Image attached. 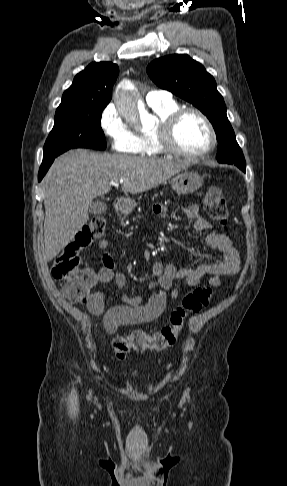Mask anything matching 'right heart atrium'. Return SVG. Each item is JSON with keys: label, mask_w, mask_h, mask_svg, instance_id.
<instances>
[{"label": "right heart atrium", "mask_w": 287, "mask_h": 486, "mask_svg": "<svg viewBox=\"0 0 287 486\" xmlns=\"http://www.w3.org/2000/svg\"><path fill=\"white\" fill-rule=\"evenodd\" d=\"M100 127L108 138L112 150L116 152L136 153L137 135L123 120L114 104H108L101 112Z\"/></svg>", "instance_id": "right-heart-atrium-1"}]
</instances>
